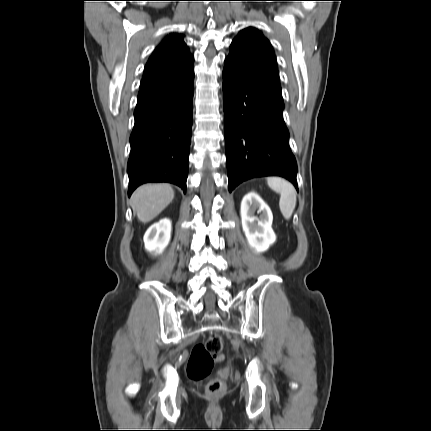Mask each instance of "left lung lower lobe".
<instances>
[{"mask_svg": "<svg viewBox=\"0 0 431 431\" xmlns=\"http://www.w3.org/2000/svg\"><path fill=\"white\" fill-rule=\"evenodd\" d=\"M223 107L229 191L248 179L272 175L288 179L298 190L282 93L224 68Z\"/></svg>", "mask_w": 431, "mask_h": 431, "instance_id": "left-lung-lower-lobe-1", "label": "left lung lower lobe"}]
</instances>
